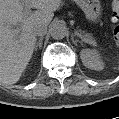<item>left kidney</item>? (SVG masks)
Here are the masks:
<instances>
[{
  "instance_id": "left-kidney-1",
  "label": "left kidney",
  "mask_w": 119,
  "mask_h": 119,
  "mask_svg": "<svg viewBox=\"0 0 119 119\" xmlns=\"http://www.w3.org/2000/svg\"><path fill=\"white\" fill-rule=\"evenodd\" d=\"M80 58L85 67L91 70L100 71L104 68V63L101 60V56L97 50L83 49L80 52Z\"/></svg>"
}]
</instances>
